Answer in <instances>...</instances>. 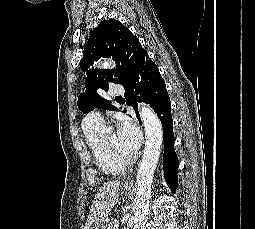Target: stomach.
Returning a JSON list of instances; mask_svg holds the SVG:
<instances>
[{"label": "stomach", "mask_w": 255, "mask_h": 229, "mask_svg": "<svg viewBox=\"0 0 255 229\" xmlns=\"http://www.w3.org/2000/svg\"><path fill=\"white\" fill-rule=\"evenodd\" d=\"M123 190L126 192L127 191L129 192L131 189L127 186H124ZM106 222H107V220H102L101 222L90 226L88 229H106Z\"/></svg>", "instance_id": "1"}]
</instances>
